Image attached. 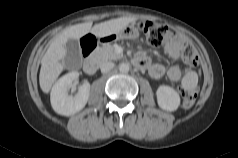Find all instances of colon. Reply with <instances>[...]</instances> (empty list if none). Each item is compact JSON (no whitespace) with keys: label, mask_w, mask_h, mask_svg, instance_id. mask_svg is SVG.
Wrapping results in <instances>:
<instances>
[{"label":"colon","mask_w":238,"mask_h":158,"mask_svg":"<svg viewBox=\"0 0 238 158\" xmlns=\"http://www.w3.org/2000/svg\"><path fill=\"white\" fill-rule=\"evenodd\" d=\"M139 29L145 34L148 43L153 47H158L165 41L176 38V34L167 26L158 24L152 21H142L138 24ZM95 39L91 36L86 37L83 40V51L85 53L90 52L94 48ZM182 61L190 68H196L198 66V56L194 48L186 43L183 46L181 52ZM180 94L182 97V106L185 108L191 107L197 96V88H180Z\"/></svg>","instance_id":"1"}]
</instances>
